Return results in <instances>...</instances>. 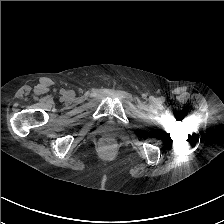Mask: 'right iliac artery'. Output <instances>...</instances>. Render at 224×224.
Wrapping results in <instances>:
<instances>
[{
	"label": "right iliac artery",
	"instance_id": "right-iliac-artery-1",
	"mask_svg": "<svg viewBox=\"0 0 224 224\" xmlns=\"http://www.w3.org/2000/svg\"><path fill=\"white\" fill-rule=\"evenodd\" d=\"M61 93H62V94H64V93H65V91H64V90H61Z\"/></svg>",
	"mask_w": 224,
	"mask_h": 224
}]
</instances>
